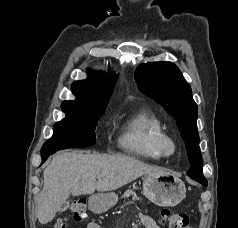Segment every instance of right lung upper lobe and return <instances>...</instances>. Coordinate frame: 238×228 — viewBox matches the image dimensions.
I'll return each mask as SVG.
<instances>
[{"instance_id": "obj_1", "label": "right lung upper lobe", "mask_w": 238, "mask_h": 228, "mask_svg": "<svg viewBox=\"0 0 238 228\" xmlns=\"http://www.w3.org/2000/svg\"><path fill=\"white\" fill-rule=\"evenodd\" d=\"M89 74L86 80L72 84V92L76 99L62 103L61 108L64 112H90L97 105L109 102L117 76L113 74L106 76L91 69Z\"/></svg>"}]
</instances>
